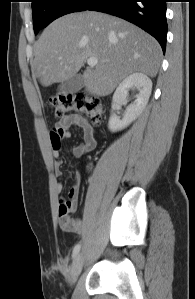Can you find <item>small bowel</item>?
I'll return each mask as SVG.
<instances>
[{
  "mask_svg": "<svg viewBox=\"0 0 195 299\" xmlns=\"http://www.w3.org/2000/svg\"><path fill=\"white\" fill-rule=\"evenodd\" d=\"M73 125L79 126L83 131V142L76 145L71 150L74 158H80L84 154L94 150L96 147V140L94 137L95 131L87 119L79 115H68L63 117L49 135V141L53 147V155L55 157L54 171L56 177H60L62 175V163L59 160V147L63 140L71 138L72 133L70 131V127ZM55 187L58 194L63 192L64 186L61 182H57ZM78 194L79 186L76 184L69 190L68 198L62 200V204L59 206V215L60 210H62L65 206H69L70 213L76 209ZM70 213L68 215H60L59 227L66 232L81 233L84 228L83 220L72 217Z\"/></svg>",
  "mask_w": 195,
  "mask_h": 299,
  "instance_id": "c3829d8e",
  "label": "small bowel"
}]
</instances>
